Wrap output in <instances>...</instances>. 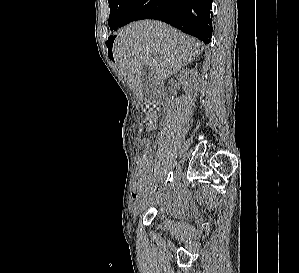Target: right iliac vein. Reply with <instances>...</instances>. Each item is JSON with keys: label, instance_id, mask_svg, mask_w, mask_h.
I'll return each instance as SVG.
<instances>
[{"label": "right iliac vein", "instance_id": "63e3f726", "mask_svg": "<svg viewBox=\"0 0 299 273\" xmlns=\"http://www.w3.org/2000/svg\"><path fill=\"white\" fill-rule=\"evenodd\" d=\"M180 176H181V168L178 167L176 172H175V175H174V178L172 180V183H171V187L172 188H175L180 180ZM147 199H143L140 201V203L135 207L134 209V212H133V217L134 219H136V217L144 210V208L146 207L147 205Z\"/></svg>", "mask_w": 299, "mask_h": 273}]
</instances>
